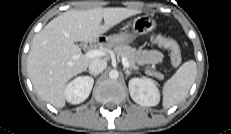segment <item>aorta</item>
Listing matches in <instances>:
<instances>
[{"mask_svg":"<svg viewBox=\"0 0 231 134\" xmlns=\"http://www.w3.org/2000/svg\"><path fill=\"white\" fill-rule=\"evenodd\" d=\"M109 76L111 79H117L119 77V72L113 69L109 72Z\"/></svg>","mask_w":231,"mask_h":134,"instance_id":"aorta-1","label":"aorta"}]
</instances>
